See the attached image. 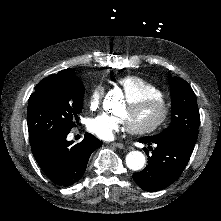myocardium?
<instances>
[{"label": "myocardium", "mask_w": 221, "mask_h": 221, "mask_svg": "<svg viewBox=\"0 0 221 221\" xmlns=\"http://www.w3.org/2000/svg\"><path fill=\"white\" fill-rule=\"evenodd\" d=\"M126 115L127 131L131 135H139L143 130L160 127L170 113V108L162 97H150L132 103Z\"/></svg>", "instance_id": "myocardium-1"}]
</instances>
